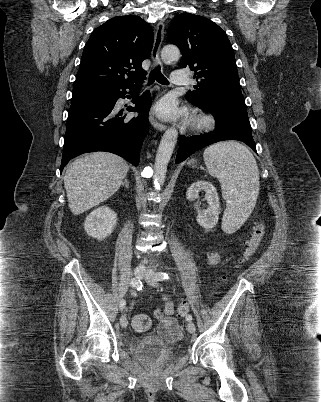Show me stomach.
Here are the masks:
<instances>
[{
	"instance_id": "1",
	"label": "stomach",
	"mask_w": 321,
	"mask_h": 402,
	"mask_svg": "<svg viewBox=\"0 0 321 402\" xmlns=\"http://www.w3.org/2000/svg\"><path fill=\"white\" fill-rule=\"evenodd\" d=\"M194 162H195V160H191V161H190V163H194Z\"/></svg>"
}]
</instances>
